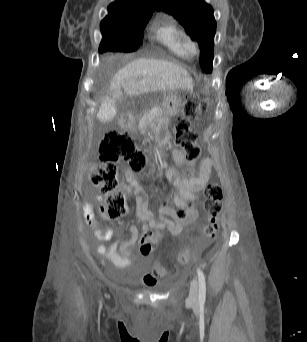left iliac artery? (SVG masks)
<instances>
[{
  "mask_svg": "<svg viewBox=\"0 0 307 342\" xmlns=\"http://www.w3.org/2000/svg\"><path fill=\"white\" fill-rule=\"evenodd\" d=\"M198 280H199V302L204 303L206 299V280L203 271L197 268Z\"/></svg>",
  "mask_w": 307,
  "mask_h": 342,
  "instance_id": "left-iliac-artery-1",
  "label": "left iliac artery"
}]
</instances>
